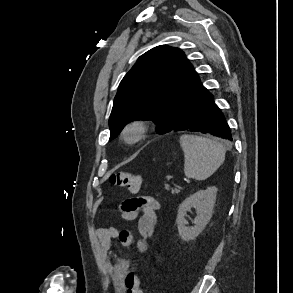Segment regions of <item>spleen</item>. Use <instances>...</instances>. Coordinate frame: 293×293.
Returning <instances> with one entry per match:
<instances>
[{
    "label": "spleen",
    "instance_id": "obj_1",
    "mask_svg": "<svg viewBox=\"0 0 293 293\" xmlns=\"http://www.w3.org/2000/svg\"><path fill=\"white\" fill-rule=\"evenodd\" d=\"M180 145L184 152V174L188 178L205 180L225 160L226 149L216 140L183 134L180 137Z\"/></svg>",
    "mask_w": 293,
    "mask_h": 293
}]
</instances>
